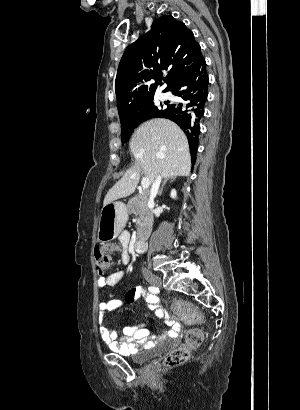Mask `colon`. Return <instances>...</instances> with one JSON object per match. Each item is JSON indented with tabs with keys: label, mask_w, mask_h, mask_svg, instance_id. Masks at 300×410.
I'll return each instance as SVG.
<instances>
[{
	"label": "colon",
	"mask_w": 300,
	"mask_h": 410,
	"mask_svg": "<svg viewBox=\"0 0 300 410\" xmlns=\"http://www.w3.org/2000/svg\"><path fill=\"white\" fill-rule=\"evenodd\" d=\"M94 257L96 268L100 273H105L111 268L113 261L108 250H103L97 247L94 250ZM172 308L183 320H185L184 323L186 327H193L194 324L202 321L201 313L188 302L175 301L172 304ZM202 341L203 335L199 330H189L185 338V343L181 347L167 353L164 359V365L166 367H173L183 364L189 358L190 351L197 348Z\"/></svg>",
	"instance_id": "colon-1"
}]
</instances>
